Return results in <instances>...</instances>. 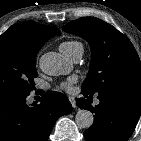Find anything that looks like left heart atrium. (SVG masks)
I'll return each instance as SVG.
<instances>
[{
    "label": "left heart atrium",
    "mask_w": 141,
    "mask_h": 141,
    "mask_svg": "<svg viewBox=\"0 0 141 141\" xmlns=\"http://www.w3.org/2000/svg\"><path fill=\"white\" fill-rule=\"evenodd\" d=\"M74 83H75V79L70 78L60 84V89L66 91V92H72Z\"/></svg>",
    "instance_id": "39dd6f15"
}]
</instances>
